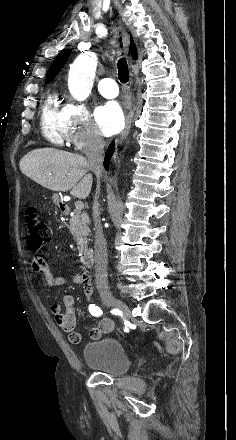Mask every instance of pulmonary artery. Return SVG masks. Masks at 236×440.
<instances>
[{
    "mask_svg": "<svg viewBox=\"0 0 236 440\" xmlns=\"http://www.w3.org/2000/svg\"><path fill=\"white\" fill-rule=\"evenodd\" d=\"M98 90L106 98H114L118 95L117 83L110 77H104L99 81Z\"/></svg>",
    "mask_w": 236,
    "mask_h": 440,
    "instance_id": "1",
    "label": "pulmonary artery"
}]
</instances>
